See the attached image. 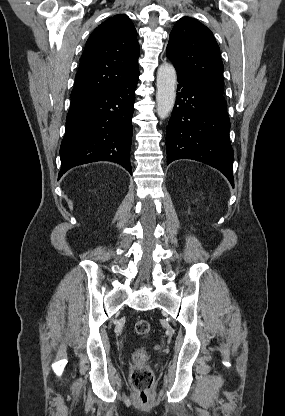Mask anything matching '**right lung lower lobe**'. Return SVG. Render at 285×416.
<instances>
[{
	"label": "right lung lower lobe",
	"mask_w": 285,
	"mask_h": 416,
	"mask_svg": "<svg viewBox=\"0 0 285 416\" xmlns=\"http://www.w3.org/2000/svg\"><path fill=\"white\" fill-rule=\"evenodd\" d=\"M139 75L102 95L71 104L60 147V177L70 168L112 161L132 174L130 148Z\"/></svg>",
	"instance_id": "1"
}]
</instances>
